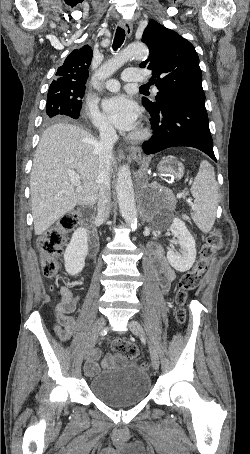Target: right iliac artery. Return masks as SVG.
I'll list each match as a JSON object with an SVG mask.
<instances>
[{"mask_svg": "<svg viewBox=\"0 0 250 454\" xmlns=\"http://www.w3.org/2000/svg\"><path fill=\"white\" fill-rule=\"evenodd\" d=\"M101 334H102V335H103V334L105 335V334H107V331L104 329V330L101 332Z\"/></svg>", "mask_w": 250, "mask_h": 454, "instance_id": "right-iliac-artery-1", "label": "right iliac artery"}]
</instances>
